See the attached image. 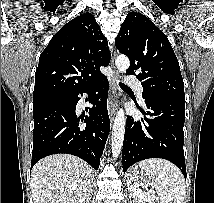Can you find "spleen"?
<instances>
[{"instance_id": "obj_1", "label": "spleen", "mask_w": 214, "mask_h": 203, "mask_svg": "<svg viewBox=\"0 0 214 203\" xmlns=\"http://www.w3.org/2000/svg\"><path fill=\"white\" fill-rule=\"evenodd\" d=\"M155 181L159 203H184L185 183L180 170L162 159H148L139 163Z\"/></svg>"}]
</instances>
